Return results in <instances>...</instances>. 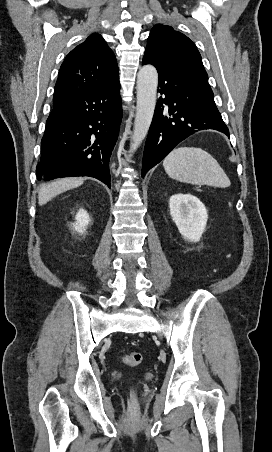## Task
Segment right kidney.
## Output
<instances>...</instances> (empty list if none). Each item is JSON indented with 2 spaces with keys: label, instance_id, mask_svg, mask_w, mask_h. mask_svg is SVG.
<instances>
[{
  "label": "right kidney",
  "instance_id": "ca27d5eb",
  "mask_svg": "<svg viewBox=\"0 0 272 452\" xmlns=\"http://www.w3.org/2000/svg\"><path fill=\"white\" fill-rule=\"evenodd\" d=\"M76 222L73 223V228L78 233H84L90 221L89 214L84 209H80L75 217Z\"/></svg>",
  "mask_w": 272,
  "mask_h": 452
}]
</instances>
